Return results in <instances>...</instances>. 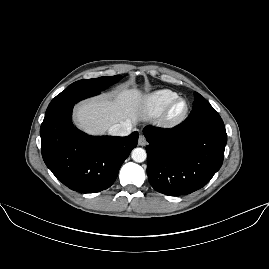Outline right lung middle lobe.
Returning a JSON list of instances; mask_svg holds the SVG:
<instances>
[{
    "label": "right lung middle lobe",
    "instance_id": "right-lung-middle-lobe-1",
    "mask_svg": "<svg viewBox=\"0 0 269 269\" xmlns=\"http://www.w3.org/2000/svg\"><path fill=\"white\" fill-rule=\"evenodd\" d=\"M121 79L120 75L115 76H103L94 79H83L76 81L68 86L67 89H79L82 91H103L108 86L118 82Z\"/></svg>",
    "mask_w": 269,
    "mask_h": 269
}]
</instances>
